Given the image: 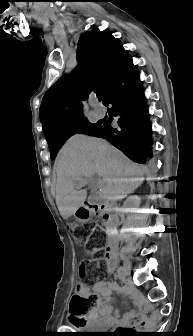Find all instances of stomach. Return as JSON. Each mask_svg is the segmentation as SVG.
Listing matches in <instances>:
<instances>
[{
  "instance_id": "0dacf381",
  "label": "stomach",
  "mask_w": 193,
  "mask_h": 336,
  "mask_svg": "<svg viewBox=\"0 0 193 336\" xmlns=\"http://www.w3.org/2000/svg\"><path fill=\"white\" fill-rule=\"evenodd\" d=\"M73 216L80 222H88L93 217V212L90 208L86 206H80L77 208V210L74 212Z\"/></svg>"
}]
</instances>
